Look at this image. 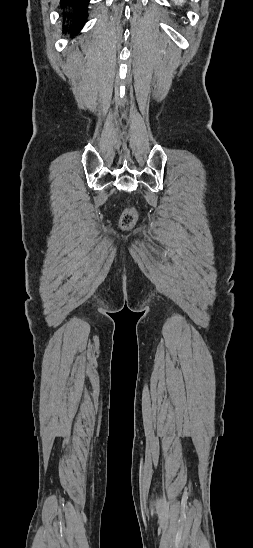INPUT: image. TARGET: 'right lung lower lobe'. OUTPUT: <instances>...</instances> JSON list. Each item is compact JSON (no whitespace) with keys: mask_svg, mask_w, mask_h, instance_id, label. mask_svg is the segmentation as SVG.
Listing matches in <instances>:
<instances>
[{"mask_svg":"<svg viewBox=\"0 0 253 548\" xmlns=\"http://www.w3.org/2000/svg\"><path fill=\"white\" fill-rule=\"evenodd\" d=\"M65 5L72 7L74 9L73 21L78 26H74L73 31L82 28L83 24L86 22L87 15L86 9L89 3V0H61Z\"/></svg>","mask_w":253,"mask_h":548,"instance_id":"1","label":"right lung lower lobe"}]
</instances>
